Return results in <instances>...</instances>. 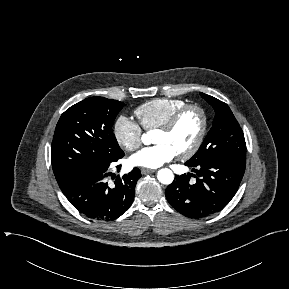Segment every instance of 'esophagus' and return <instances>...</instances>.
Instances as JSON below:
<instances>
[{"instance_id":"esophagus-1","label":"esophagus","mask_w":289,"mask_h":289,"mask_svg":"<svg viewBox=\"0 0 289 289\" xmlns=\"http://www.w3.org/2000/svg\"><path fill=\"white\" fill-rule=\"evenodd\" d=\"M155 171H156L155 169L141 168V173L144 175L154 173Z\"/></svg>"}]
</instances>
